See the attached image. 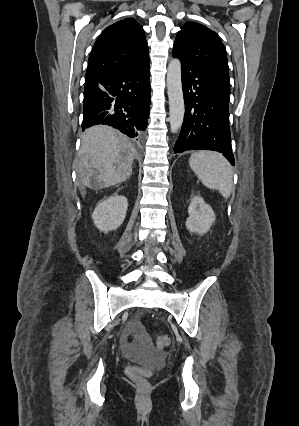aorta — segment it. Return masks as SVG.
Instances as JSON below:
<instances>
[{
	"label": "aorta",
	"mask_w": 299,
	"mask_h": 426,
	"mask_svg": "<svg viewBox=\"0 0 299 426\" xmlns=\"http://www.w3.org/2000/svg\"><path fill=\"white\" fill-rule=\"evenodd\" d=\"M167 90L169 98L170 130L177 133L184 120V97L181 82V63L174 58L170 61L167 70Z\"/></svg>",
	"instance_id": "762f6f07"
}]
</instances>
